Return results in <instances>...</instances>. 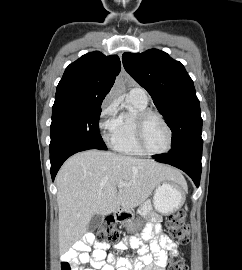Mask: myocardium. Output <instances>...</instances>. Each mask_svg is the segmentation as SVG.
<instances>
[{"mask_svg":"<svg viewBox=\"0 0 242 270\" xmlns=\"http://www.w3.org/2000/svg\"><path fill=\"white\" fill-rule=\"evenodd\" d=\"M152 118H157L167 130L168 144H167L166 149H164L163 151H159V152L151 151L150 149H148V147L145 144V137H144L145 128L148 121ZM135 138H136L137 145L141 149V151L144 154L151 155V156L164 155L171 150L172 145H173V132L170 125L160 113L156 111H152V110H146L137 115L136 120H135Z\"/></svg>","mask_w":242,"mask_h":270,"instance_id":"myocardium-1","label":"myocardium"}]
</instances>
